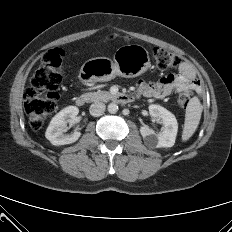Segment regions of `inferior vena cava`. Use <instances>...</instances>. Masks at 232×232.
<instances>
[{"label":"inferior vena cava","mask_w":232,"mask_h":232,"mask_svg":"<svg viewBox=\"0 0 232 232\" xmlns=\"http://www.w3.org/2000/svg\"><path fill=\"white\" fill-rule=\"evenodd\" d=\"M105 104L103 102H95L91 104L89 111L92 116L98 117L101 116L105 111Z\"/></svg>","instance_id":"obj_1"}]
</instances>
